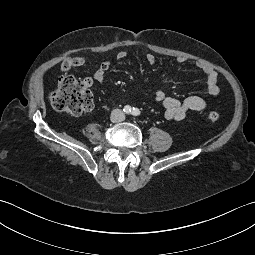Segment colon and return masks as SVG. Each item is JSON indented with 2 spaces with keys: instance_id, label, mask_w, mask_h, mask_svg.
I'll return each mask as SVG.
<instances>
[{
  "instance_id": "colon-1",
  "label": "colon",
  "mask_w": 255,
  "mask_h": 255,
  "mask_svg": "<svg viewBox=\"0 0 255 255\" xmlns=\"http://www.w3.org/2000/svg\"><path fill=\"white\" fill-rule=\"evenodd\" d=\"M49 104L57 111L71 115H81L93 107V95L82 81L71 75H59L56 88L49 95ZM212 122H218L220 115L215 110L207 114Z\"/></svg>"
}]
</instances>
